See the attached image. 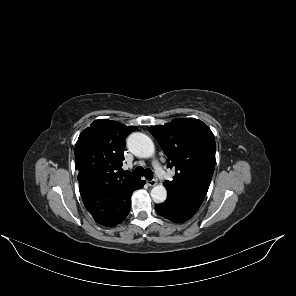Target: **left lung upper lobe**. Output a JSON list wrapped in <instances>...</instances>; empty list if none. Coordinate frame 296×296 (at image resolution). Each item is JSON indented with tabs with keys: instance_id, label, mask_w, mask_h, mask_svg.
<instances>
[{
	"instance_id": "1",
	"label": "left lung upper lobe",
	"mask_w": 296,
	"mask_h": 296,
	"mask_svg": "<svg viewBox=\"0 0 296 296\" xmlns=\"http://www.w3.org/2000/svg\"><path fill=\"white\" fill-rule=\"evenodd\" d=\"M149 132L168 157L167 167L175 169L173 181L164 183L168 196L203 201L215 167L212 131L198 119L178 118Z\"/></svg>"
}]
</instances>
